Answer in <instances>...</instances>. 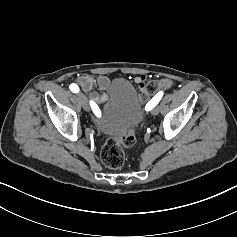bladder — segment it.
<instances>
[{
    "label": "bladder",
    "mask_w": 237,
    "mask_h": 237,
    "mask_svg": "<svg viewBox=\"0 0 237 237\" xmlns=\"http://www.w3.org/2000/svg\"><path fill=\"white\" fill-rule=\"evenodd\" d=\"M113 91L118 107L104 111L94 121L102 134L119 139L139 124L143 110L135 88L128 81L119 80Z\"/></svg>",
    "instance_id": "31cf9c89"
}]
</instances>
